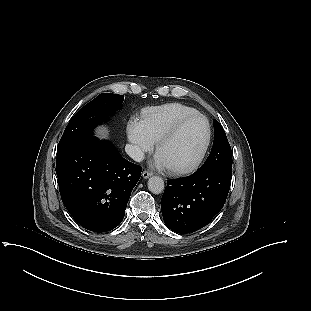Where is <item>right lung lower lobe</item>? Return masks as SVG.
I'll return each instance as SVG.
<instances>
[{
	"mask_svg": "<svg viewBox=\"0 0 311 311\" xmlns=\"http://www.w3.org/2000/svg\"><path fill=\"white\" fill-rule=\"evenodd\" d=\"M141 171L108 141L94 136L57 153L62 201L82 227L94 232L110 231L121 223Z\"/></svg>",
	"mask_w": 311,
	"mask_h": 311,
	"instance_id": "1",
	"label": "right lung lower lobe"
}]
</instances>
